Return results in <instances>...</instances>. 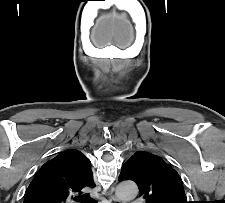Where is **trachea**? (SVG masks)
I'll return each instance as SVG.
<instances>
[{"mask_svg": "<svg viewBox=\"0 0 225 203\" xmlns=\"http://www.w3.org/2000/svg\"><path fill=\"white\" fill-rule=\"evenodd\" d=\"M76 200L81 203H95L88 195L77 197Z\"/></svg>", "mask_w": 225, "mask_h": 203, "instance_id": "trachea-1", "label": "trachea"}]
</instances>
